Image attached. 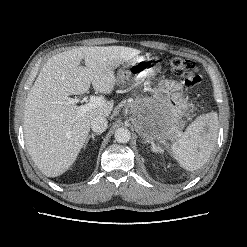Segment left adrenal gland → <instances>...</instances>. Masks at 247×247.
Here are the masks:
<instances>
[{
	"label": "left adrenal gland",
	"mask_w": 247,
	"mask_h": 247,
	"mask_svg": "<svg viewBox=\"0 0 247 247\" xmlns=\"http://www.w3.org/2000/svg\"><path fill=\"white\" fill-rule=\"evenodd\" d=\"M146 142H148V143H150L151 144V146H152V150L154 151V152H158V151H160V147L159 146H157L153 141H150V140H146Z\"/></svg>",
	"instance_id": "1"
}]
</instances>
